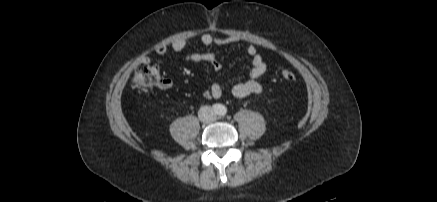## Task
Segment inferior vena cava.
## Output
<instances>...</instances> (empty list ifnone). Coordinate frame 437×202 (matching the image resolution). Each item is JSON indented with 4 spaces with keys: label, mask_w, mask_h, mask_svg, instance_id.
Masks as SVG:
<instances>
[{
    "label": "inferior vena cava",
    "mask_w": 437,
    "mask_h": 202,
    "mask_svg": "<svg viewBox=\"0 0 437 202\" xmlns=\"http://www.w3.org/2000/svg\"><path fill=\"white\" fill-rule=\"evenodd\" d=\"M198 117L201 121L208 123L214 121L216 115L210 106H203L198 112Z\"/></svg>",
    "instance_id": "1"
}]
</instances>
